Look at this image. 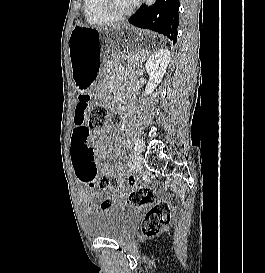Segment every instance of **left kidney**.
<instances>
[{
  "mask_svg": "<svg viewBox=\"0 0 265 273\" xmlns=\"http://www.w3.org/2000/svg\"><path fill=\"white\" fill-rule=\"evenodd\" d=\"M170 59L171 55L168 49H159L149 57L145 65L146 71L149 74V80L145 89L146 95L151 94L161 82Z\"/></svg>",
  "mask_w": 265,
  "mask_h": 273,
  "instance_id": "obj_1",
  "label": "left kidney"
}]
</instances>
